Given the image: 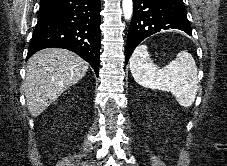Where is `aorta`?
Listing matches in <instances>:
<instances>
[{
    "label": "aorta",
    "mask_w": 227,
    "mask_h": 166,
    "mask_svg": "<svg viewBox=\"0 0 227 166\" xmlns=\"http://www.w3.org/2000/svg\"><path fill=\"white\" fill-rule=\"evenodd\" d=\"M123 14L126 20H130L133 14L132 0H122Z\"/></svg>",
    "instance_id": "1"
}]
</instances>
